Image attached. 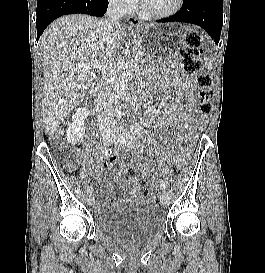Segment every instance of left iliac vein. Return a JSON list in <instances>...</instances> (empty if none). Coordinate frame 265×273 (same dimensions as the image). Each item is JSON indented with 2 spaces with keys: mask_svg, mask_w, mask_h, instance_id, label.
<instances>
[{
  "mask_svg": "<svg viewBox=\"0 0 265 273\" xmlns=\"http://www.w3.org/2000/svg\"><path fill=\"white\" fill-rule=\"evenodd\" d=\"M114 143L120 146H127L129 148L138 149L140 146L139 139L131 132L122 129L121 132H118L115 136ZM170 202V197L166 191L162 194V204L167 207Z\"/></svg>",
  "mask_w": 265,
  "mask_h": 273,
  "instance_id": "1",
  "label": "left iliac vein"
}]
</instances>
